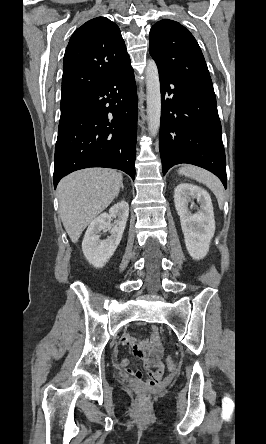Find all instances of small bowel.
I'll return each instance as SVG.
<instances>
[{
	"label": "small bowel",
	"mask_w": 266,
	"mask_h": 444,
	"mask_svg": "<svg viewBox=\"0 0 266 444\" xmlns=\"http://www.w3.org/2000/svg\"><path fill=\"white\" fill-rule=\"evenodd\" d=\"M122 344L131 346L134 353L147 363L149 378L145 381V384L150 387L156 386L164 376V364L161 361L162 345L157 327H152L148 340L136 341L134 338L126 335L122 338ZM118 369L128 375L133 382L141 383L142 373L131 368L127 358H123L119 362Z\"/></svg>",
	"instance_id": "1"
}]
</instances>
